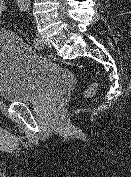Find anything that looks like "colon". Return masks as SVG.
<instances>
[{
    "mask_svg": "<svg viewBox=\"0 0 131 177\" xmlns=\"http://www.w3.org/2000/svg\"><path fill=\"white\" fill-rule=\"evenodd\" d=\"M6 8V1L0 0V18L3 17L4 11ZM97 89V84L92 82L87 88L80 90L77 92V96L80 98H88L91 97Z\"/></svg>",
    "mask_w": 131,
    "mask_h": 177,
    "instance_id": "obj_1",
    "label": "colon"
}]
</instances>
